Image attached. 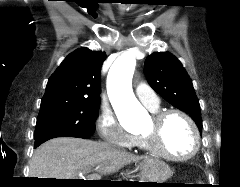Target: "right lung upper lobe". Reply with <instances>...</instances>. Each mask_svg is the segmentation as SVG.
I'll return each mask as SVG.
<instances>
[{
  "label": "right lung upper lobe",
  "mask_w": 240,
  "mask_h": 187,
  "mask_svg": "<svg viewBox=\"0 0 240 187\" xmlns=\"http://www.w3.org/2000/svg\"><path fill=\"white\" fill-rule=\"evenodd\" d=\"M106 54L86 47L70 53L48 80L41 106L100 102V70Z\"/></svg>",
  "instance_id": "obj_1"
}]
</instances>
